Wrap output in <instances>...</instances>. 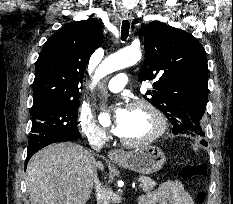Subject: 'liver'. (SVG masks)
<instances>
[{
	"instance_id": "obj_1",
	"label": "liver",
	"mask_w": 233,
	"mask_h": 204,
	"mask_svg": "<svg viewBox=\"0 0 233 204\" xmlns=\"http://www.w3.org/2000/svg\"><path fill=\"white\" fill-rule=\"evenodd\" d=\"M96 162L93 154L76 143H54L37 152L26 171L31 204H86L93 189Z\"/></svg>"
}]
</instances>
